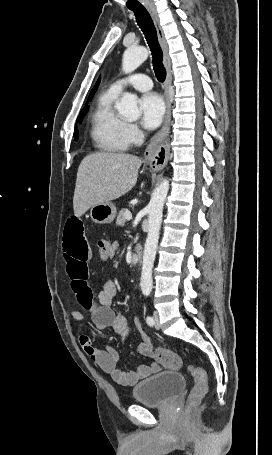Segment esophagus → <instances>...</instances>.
<instances>
[{
  "instance_id": "34e87169",
  "label": "esophagus",
  "mask_w": 272,
  "mask_h": 455,
  "mask_svg": "<svg viewBox=\"0 0 272 455\" xmlns=\"http://www.w3.org/2000/svg\"><path fill=\"white\" fill-rule=\"evenodd\" d=\"M146 9L149 12L154 25L156 27L157 35L163 50L164 65L167 71L165 81V98H166V115L162 128L152 137L146 149V158L149 160L151 167L155 170L163 169L168 162L169 157V139L170 120H171V99L169 88L172 82L171 62L169 57L168 45L160 25L159 18L150 4H146Z\"/></svg>"
}]
</instances>
